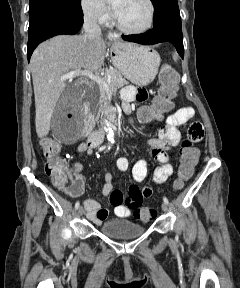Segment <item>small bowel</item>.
<instances>
[{"label": "small bowel", "instance_id": "obj_1", "mask_svg": "<svg viewBox=\"0 0 240 288\" xmlns=\"http://www.w3.org/2000/svg\"><path fill=\"white\" fill-rule=\"evenodd\" d=\"M122 107L126 113H131V103L134 101H145L148 98V92L143 87L126 86L120 92ZM194 109L192 107H182L172 114L168 115L158 130L156 138L147 140V144L151 147L152 157L160 163L153 173V181L157 184L164 183L173 173V165L169 162L167 151L176 147L181 141V133L179 127L191 122L194 117ZM204 135V127L198 121L191 122L188 128L187 137L192 143L199 142ZM78 153L92 154L93 148L88 143H81L77 147ZM129 168V161L125 157H120L116 161V169L124 172ZM83 166L79 162H74L70 167V174L74 180L79 183V190L69 193L76 197L83 193L84 177L80 174ZM148 172L145 160L137 161L132 168V177L134 185L130 191H137L141 198H149L152 195V188L149 185L138 187L136 184L141 183ZM102 194L110 197V202L114 206V214L118 218H127L131 215V208L123 204L124 195L121 190L114 189L113 179L110 173H106L102 184ZM88 219L95 224H102L109 216V209L102 207L98 202L87 199L83 202Z\"/></svg>", "mask_w": 240, "mask_h": 288}]
</instances>
